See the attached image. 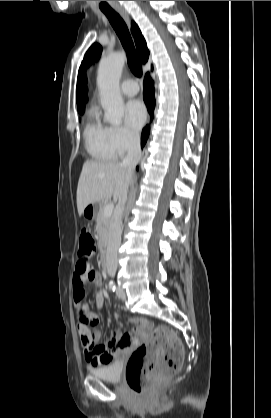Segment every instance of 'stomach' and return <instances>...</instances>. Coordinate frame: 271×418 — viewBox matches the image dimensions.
<instances>
[{
    "label": "stomach",
    "mask_w": 271,
    "mask_h": 418,
    "mask_svg": "<svg viewBox=\"0 0 271 418\" xmlns=\"http://www.w3.org/2000/svg\"><path fill=\"white\" fill-rule=\"evenodd\" d=\"M99 208H100V202L91 203L85 207L83 211V216L87 220H94L96 215L98 214Z\"/></svg>",
    "instance_id": "0dacf381"
}]
</instances>
